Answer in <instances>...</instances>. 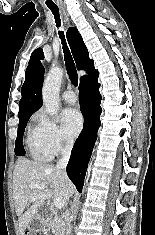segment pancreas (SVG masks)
I'll use <instances>...</instances> for the list:
<instances>
[{
  "mask_svg": "<svg viewBox=\"0 0 155 235\" xmlns=\"http://www.w3.org/2000/svg\"><path fill=\"white\" fill-rule=\"evenodd\" d=\"M47 222L54 235H63L64 220L63 217L58 215L55 210L51 211Z\"/></svg>",
  "mask_w": 155,
  "mask_h": 235,
  "instance_id": "obj_1",
  "label": "pancreas"
}]
</instances>
